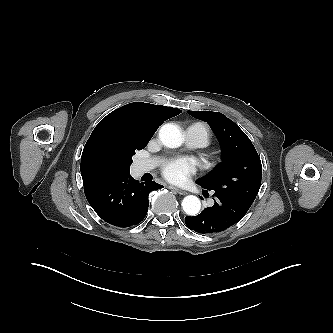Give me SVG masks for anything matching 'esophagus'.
<instances>
[{"instance_id":"34e87169","label":"esophagus","mask_w":333,"mask_h":333,"mask_svg":"<svg viewBox=\"0 0 333 333\" xmlns=\"http://www.w3.org/2000/svg\"><path fill=\"white\" fill-rule=\"evenodd\" d=\"M168 188L169 189H171V190H174V191H176L178 194H180V195H186L187 194V192L186 191H184V190H182V189H179V188H177V187H175V186H168Z\"/></svg>"}]
</instances>
